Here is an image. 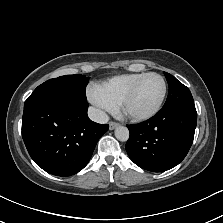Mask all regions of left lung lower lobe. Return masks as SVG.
<instances>
[{"mask_svg": "<svg viewBox=\"0 0 223 223\" xmlns=\"http://www.w3.org/2000/svg\"><path fill=\"white\" fill-rule=\"evenodd\" d=\"M196 123L194 105L164 107L145 122L127 125L130 137L126 151L131 160L145 170H169L187 155Z\"/></svg>", "mask_w": 223, "mask_h": 223, "instance_id": "0a47b994", "label": "left lung lower lobe"}]
</instances>
